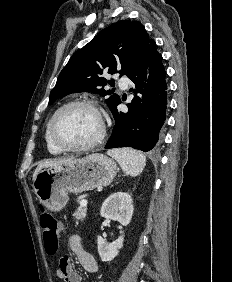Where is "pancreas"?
Listing matches in <instances>:
<instances>
[{
	"label": "pancreas",
	"mask_w": 232,
	"mask_h": 282,
	"mask_svg": "<svg viewBox=\"0 0 232 282\" xmlns=\"http://www.w3.org/2000/svg\"><path fill=\"white\" fill-rule=\"evenodd\" d=\"M87 209L86 207H79L77 211L73 214L76 220L83 221L86 217Z\"/></svg>",
	"instance_id": "obj_1"
}]
</instances>
